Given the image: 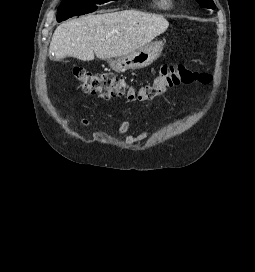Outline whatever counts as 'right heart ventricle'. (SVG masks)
Instances as JSON below:
<instances>
[{
  "label": "right heart ventricle",
  "instance_id": "e07e8e85",
  "mask_svg": "<svg viewBox=\"0 0 255 272\" xmlns=\"http://www.w3.org/2000/svg\"><path fill=\"white\" fill-rule=\"evenodd\" d=\"M152 4L158 10L166 11L172 8L173 1L172 0H153Z\"/></svg>",
  "mask_w": 255,
  "mask_h": 272
}]
</instances>
